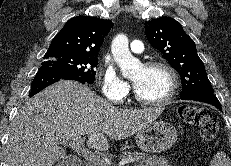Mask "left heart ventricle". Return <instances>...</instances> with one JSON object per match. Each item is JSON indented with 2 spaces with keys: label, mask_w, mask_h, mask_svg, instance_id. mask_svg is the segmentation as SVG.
Masks as SVG:
<instances>
[{
  "label": "left heart ventricle",
  "mask_w": 231,
  "mask_h": 166,
  "mask_svg": "<svg viewBox=\"0 0 231 166\" xmlns=\"http://www.w3.org/2000/svg\"><path fill=\"white\" fill-rule=\"evenodd\" d=\"M131 79L138 95L146 100L160 99L170 88V78L161 68L139 67Z\"/></svg>",
  "instance_id": "1"
}]
</instances>
